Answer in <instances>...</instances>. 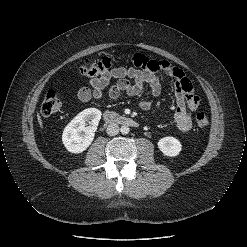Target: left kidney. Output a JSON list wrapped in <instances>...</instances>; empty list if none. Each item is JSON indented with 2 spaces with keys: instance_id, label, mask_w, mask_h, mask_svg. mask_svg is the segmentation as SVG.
<instances>
[{
  "instance_id": "left-kidney-1",
  "label": "left kidney",
  "mask_w": 247,
  "mask_h": 247,
  "mask_svg": "<svg viewBox=\"0 0 247 247\" xmlns=\"http://www.w3.org/2000/svg\"><path fill=\"white\" fill-rule=\"evenodd\" d=\"M158 148L164 155L175 157L181 152L182 145L175 137L168 136L158 141Z\"/></svg>"
}]
</instances>
